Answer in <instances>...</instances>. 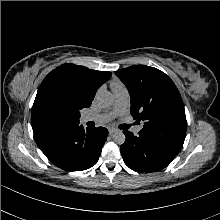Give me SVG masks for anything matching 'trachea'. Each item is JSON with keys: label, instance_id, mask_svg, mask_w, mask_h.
Segmentation results:
<instances>
[{"label": "trachea", "instance_id": "trachea-1", "mask_svg": "<svg viewBox=\"0 0 220 220\" xmlns=\"http://www.w3.org/2000/svg\"><path fill=\"white\" fill-rule=\"evenodd\" d=\"M128 128H129V125H127V124L123 125V129H128Z\"/></svg>", "mask_w": 220, "mask_h": 220}]
</instances>
